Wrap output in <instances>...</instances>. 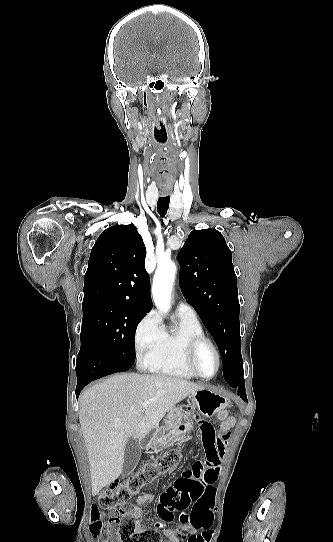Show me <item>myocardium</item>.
I'll use <instances>...</instances> for the list:
<instances>
[{
  "label": "myocardium",
  "mask_w": 333,
  "mask_h": 542,
  "mask_svg": "<svg viewBox=\"0 0 333 542\" xmlns=\"http://www.w3.org/2000/svg\"><path fill=\"white\" fill-rule=\"evenodd\" d=\"M203 345H208L211 348L216 359V370L211 376H204L201 373H199L195 365L196 354ZM184 362H185L186 368L190 371L191 374H193L195 377L206 379V380L214 378L218 374L221 368L220 353L216 345L214 344V342L205 336L193 338L186 344L185 350H184Z\"/></svg>",
  "instance_id": "myocardium-1"
}]
</instances>
